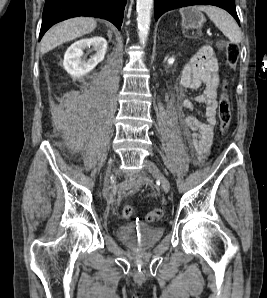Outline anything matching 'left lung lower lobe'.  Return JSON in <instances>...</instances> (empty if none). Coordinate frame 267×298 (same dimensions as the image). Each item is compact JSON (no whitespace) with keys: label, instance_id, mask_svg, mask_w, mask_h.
<instances>
[{"label":"left lung lower lobe","instance_id":"1","mask_svg":"<svg viewBox=\"0 0 267 298\" xmlns=\"http://www.w3.org/2000/svg\"><path fill=\"white\" fill-rule=\"evenodd\" d=\"M198 4H209L221 7L227 10L239 23L235 0H155V20L169 10Z\"/></svg>","mask_w":267,"mask_h":298}]
</instances>
